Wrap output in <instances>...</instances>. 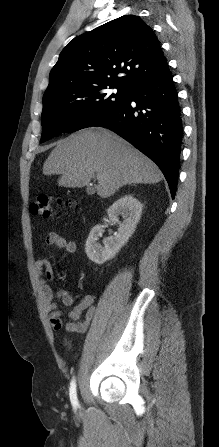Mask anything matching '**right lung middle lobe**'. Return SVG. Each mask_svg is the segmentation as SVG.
<instances>
[{
    "instance_id": "dd1d6c3e",
    "label": "right lung middle lobe",
    "mask_w": 219,
    "mask_h": 447,
    "mask_svg": "<svg viewBox=\"0 0 219 447\" xmlns=\"http://www.w3.org/2000/svg\"><path fill=\"white\" fill-rule=\"evenodd\" d=\"M115 89V90H112ZM131 91L118 85H104L84 94H53L43 97L41 141L90 125L125 103Z\"/></svg>"
}]
</instances>
